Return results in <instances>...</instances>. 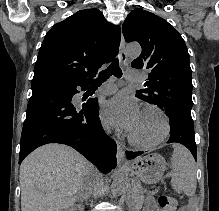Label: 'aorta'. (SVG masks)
I'll return each instance as SVG.
<instances>
[{"label": "aorta", "instance_id": "1", "mask_svg": "<svg viewBox=\"0 0 219 211\" xmlns=\"http://www.w3.org/2000/svg\"><path fill=\"white\" fill-rule=\"evenodd\" d=\"M127 55L131 57H137L141 53V48L138 44H130L126 47ZM129 187V176L125 171H119L113 177V182L111 185L112 195L114 197L120 196Z\"/></svg>", "mask_w": 219, "mask_h": 211}]
</instances>
